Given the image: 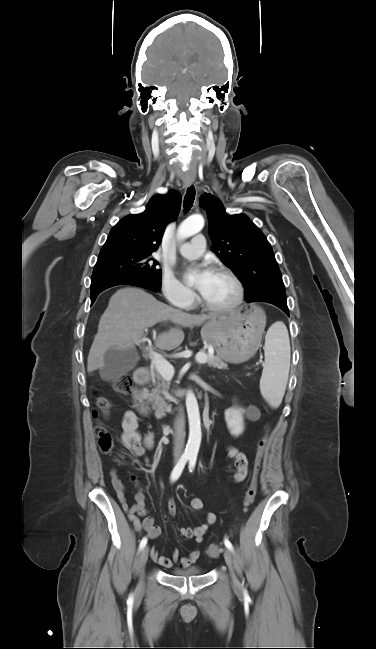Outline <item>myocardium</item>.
I'll return each mask as SVG.
<instances>
[{
	"label": "myocardium",
	"mask_w": 376,
	"mask_h": 649,
	"mask_svg": "<svg viewBox=\"0 0 376 649\" xmlns=\"http://www.w3.org/2000/svg\"><path fill=\"white\" fill-rule=\"evenodd\" d=\"M215 272L225 274L231 279V281L233 282V284L235 286V289H236L235 297L228 304H225V305H222V306H215V305L209 304L204 299L202 294H200L199 299H198L199 304L205 310H207L209 312H212V313L221 314V313L231 312V311L235 310L243 302V299H244V287H243V284H242L241 280L239 279V277L231 269H229V268H227L225 266L216 267Z\"/></svg>",
	"instance_id": "1"
}]
</instances>
